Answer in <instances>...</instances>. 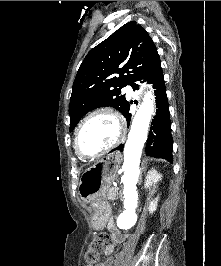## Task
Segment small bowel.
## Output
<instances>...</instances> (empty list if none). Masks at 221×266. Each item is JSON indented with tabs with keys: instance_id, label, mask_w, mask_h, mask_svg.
<instances>
[{
	"instance_id": "small-bowel-1",
	"label": "small bowel",
	"mask_w": 221,
	"mask_h": 266,
	"mask_svg": "<svg viewBox=\"0 0 221 266\" xmlns=\"http://www.w3.org/2000/svg\"><path fill=\"white\" fill-rule=\"evenodd\" d=\"M110 228L113 230V239L115 243H121L129 237L127 234H122L118 232L113 225H111ZM112 251H113V246L112 245L107 246L106 253H111ZM112 264H113V258L109 257L107 258L106 261L99 264L98 266H112Z\"/></svg>"
}]
</instances>
